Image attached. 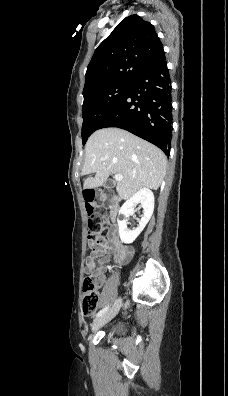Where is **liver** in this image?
Here are the masks:
<instances>
[{"label":"liver","instance_id":"1","mask_svg":"<svg viewBox=\"0 0 228 396\" xmlns=\"http://www.w3.org/2000/svg\"><path fill=\"white\" fill-rule=\"evenodd\" d=\"M167 158L153 144L119 128L95 131L85 146L82 175L95 173L84 181V189L103 185L110 174H121L114 182L119 196L126 200L138 190H157L166 174Z\"/></svg>","mask_w":228,"mask_h":396}]
</instances>
